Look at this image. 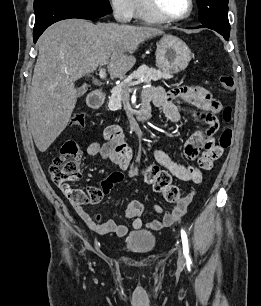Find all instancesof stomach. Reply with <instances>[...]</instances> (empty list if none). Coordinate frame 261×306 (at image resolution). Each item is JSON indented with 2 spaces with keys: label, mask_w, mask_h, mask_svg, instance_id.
Instances as JSON below:
<instances>
[{
  "label": "stomach",
  "mask_w": 261,
  "mask_h": 306,
  "mask_svg": "<svg viewBox=\"0 0 261 306\" xmlns=\"http://www.w3.org/2000/svg\"><path fill=\"white\" fill-rule=\"evenodd\" d=\"M156 65L163 71L179 73L191 60V51L184 41L173 35H164L157 43Z\"/></svg>",
  "instance_id": "obj_1"
}]
</instances>
